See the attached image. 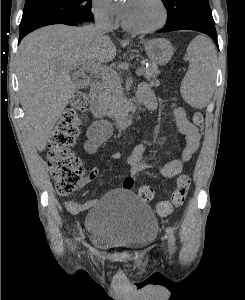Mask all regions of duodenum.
Returning a JSON list of instances; mask_svg holds the SVG:
<instances>
[{
    "label": "duodenum",
    "instance_id": "410a0bca",
    "mask_svg": "<svg viewBox=\"0 0 245 300\" xmlns=\"http://www.w3.org/2000/svg\"><path fill=\"white\" fill-rule=\"evenodd\" d=\"M101 92L102 86L100 82L95 81L92 84L91 90V112L96 120H105V110L101 101ZM141 105L147 106V97L142 92H137L136 94V104L134 109L129 112L119 116L116 119V125L119 128H126L132 124L134 121L135 115L138 111V108Z\"/></svg>",
    "mask_w": 245,
    "mask_h": 300
}]
</instances>
